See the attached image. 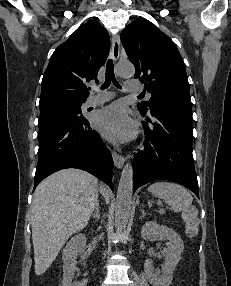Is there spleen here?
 Here are the masks:
<instances>
[{
	"label": "spleen",
	"mask_w": 231,
	"mask_h": 286,
	"mask_svg": "<svg viewBox=\"0 0 231 286\" xmlns=\"http://www.w3.org/2000/svg\"><path fill=\"white\" fill-rule=\"evenodd\" d=\"M148 190L160 199L165 200L174 212H181L191 206L193 197L181 185L159 181L151 184Z\"/></svg>",
	"instance_id": "1"
}]
</instances>
